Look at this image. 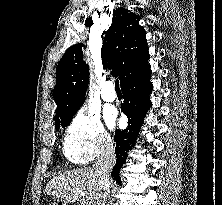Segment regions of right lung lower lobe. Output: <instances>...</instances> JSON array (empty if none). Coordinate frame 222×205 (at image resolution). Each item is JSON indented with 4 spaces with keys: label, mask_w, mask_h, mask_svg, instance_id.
<instances>
[{
    "label": "right lung lower lobe",
    "mask_w": 222,
    "mask_h": 205,
    "mask_svg": "<svg viewBox=\"0 0 222 205\" xmlns=\"http://www.w3.org/2000/svg\"><path fill=\"white\" fill-rule=\"evenodd\" d=\"M150 76L151 69L149 66L121 84L124 98V102L121 104V112L129 120L128 127L122 131L116 130L114 136L117 159L111 175L117 183H121L119 171L126 162L127 152L134 146L145 113L152 106L149 98L153 89Z\"/></svg>",
    "instance_id": "1"
}]
</instances>
